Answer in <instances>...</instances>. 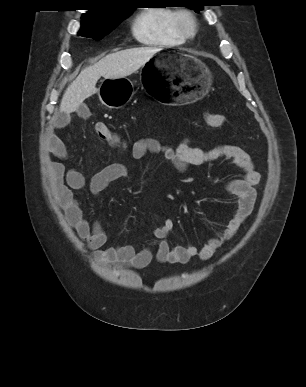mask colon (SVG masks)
<instances>
[{"label": "colon", "instance_id": "colon-1", "mask_svg": "<svg viewBox=\"0 0 306 387\" xmlns=\"http://www.w3.org/2000/svg\"><path fill=\"white\" fill-rule=\"evenodd\" d=\"M205 120L206 123L213 128H219L225 122L224 116L217 113H207L205 116ZM95 131L103 141L113 146H121V141L119 137L111 130V128L106 123H97L95 125Z\"/></svg>", "mask_w": 306, "mask_h": 387}]
</instances>
